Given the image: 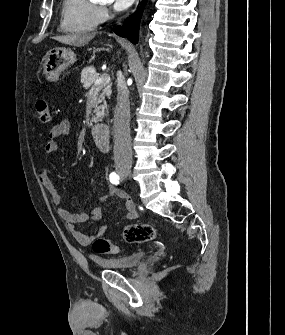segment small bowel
I'll list each match as a JSON object with an SVG mask.
<instances>
[{
    "label": "small bowel",
    "instance_id": "small-bowel-1",
    "mask_svg": "<svg viewBox=\"0 0 285 335\" xmlns=\"http://www.w3.org/2000/svg\"><path fill=\"white\" fill-rule=\"evenodd\" d=\"M70 132L71 124L68 120L63 119L57 122L48 132L47 142L44 147L45 152L49 155L53 154L57 149L56 139L62 136H68ZM103 172L107 178L109 175V170L105 168ZM38 176L41 184L49 193L53 204L58 206L57 213L59 217L66 222L68 230L78 243L83 246H89L97 236L105 234L109 219H107L106 222L101 226V229L97 235L85 234L79 231L76 227L77 224L85 223L89 220H102L104 218V212L100 205L95 206L89 212L73 213L69 209L61 206V195L52 181L51 169L49 167L42 168ZM113 196H116L124 201L126 219L134 220L137 218L138 213L132 199L128 196L127 193L118 190L111 185L108 186L107 192L99 198L98 202L104 203Z\"/></svg>",
    "mask_w": 285,
    "mask_h": 335
}]
</instances>
